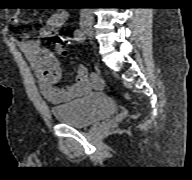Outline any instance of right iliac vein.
<instances>
[{
    "instance_id": "1",
    "label": "right iliac vein",
    "mask_w": 192,
    "mask_h": 180,
    "mask_svg": "<svg viewBox=\"0 0 192 180\" xmlns=\"http://www.w3.org/2000/svg\"><path fill=\"white\" fill-rule=\"evenodd\" d=\"M81 28L84 33H86L89 36H93V29H92V24L89 21H82L81 22Z\"/></svg>"
}]
</instances>
